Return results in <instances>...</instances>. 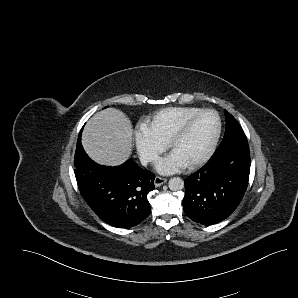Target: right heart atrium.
Masks as SVG:
<instances>
[{"mask_svg": "<svg viewBox=\"0 0 298 298\" xmlns=\"http://www.w3.org/2000/svg\"><path fill=\"white\" fill-rule=\"evenodd\" d=\"M134 138L140 159L144 163L154 160L160 153L164 152L167 142L161 137H152L145 128H138L134 132Z\"/></svg>", "mask_w": 298, "mask_h": 298, "instance_id": "1", "label": "right heart atrium"}]
</instances>
